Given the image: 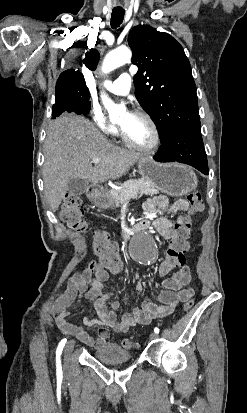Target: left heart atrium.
I'll list each match as a JSON object with an SVG mask.
<instances>
[{
    "mask_svg": "<svg viewBox=\"0 0 247 413\" xmlns=\"http://www.w3.org/2000/svg\"><path fill=\"white\" fill-rule=\"evenodd\" d=\"M138 116L135 113H129L127 116V120H126V125L127 126H132L135 124V122L138 120Z\"/></svg>",
    "mask_w": 247,
    "mask_h": 413,
    "instance_id": "left-heart-atrium-1",
    "label": "left heart atrium"
}]
</instances>
